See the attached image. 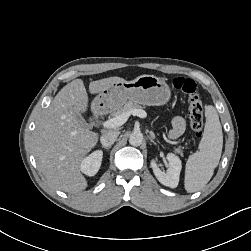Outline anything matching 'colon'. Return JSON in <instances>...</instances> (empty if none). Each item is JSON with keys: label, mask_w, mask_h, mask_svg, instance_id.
Returning a JSON list of instances; mask_svg holds the SVG:
<instances>
[{"label": "colon", "mask_w": 251, "mask_h": 251, "mask_svg": "<svg viewBox=\"0 0 251 251\" xmlns=\"http://www.w3.org/2000/svg\"><path fill=\"white\" fill-rule=\"evenodd\" d=\"M173 87L188 98V115L190 124L197 137L203 135L204 108L198 95L196 83L189 78L176 77L172 81Z\"/></svg>", "instance_id": "colon-1"}]
</instances>
